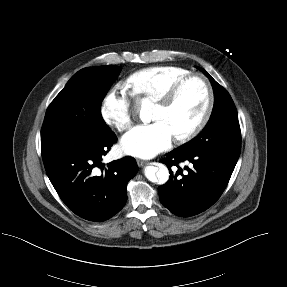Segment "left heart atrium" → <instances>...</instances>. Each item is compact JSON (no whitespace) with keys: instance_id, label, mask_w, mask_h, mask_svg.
<instances>
[{"instance_id":"1","label":"left heart atrium","mask_w":287,"mask_h":287,"mask_svg":"<svg viewBox=\"0 0 287 287\" xmlns=\"http://www.w3.org/2000/svg\"><path fill=\"white\" fill-rule=\"evenodd\" d=\"M173 135L161 121L138 125L126 133L121 140L123 151L140 158H151L168 149Z\"/></svg>"}]
</instances>
